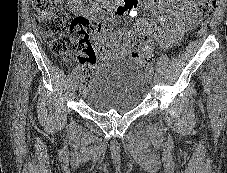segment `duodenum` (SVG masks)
I'll list each match as a JSON object with an SVG mask.
<instances>
[{"label": "duodenum", "mask_w": 227, "mask_h": 173, "mask_svg": "<svg viewBox=\"0 0 227 173\" xmlns=\"http://www.w3.org/2000/svg\"><path fill=\"white\" fill-rule=\"evenodd\" d=\"M130 1L131 0H114L111 2H104L101 6V11L107 18L119 16L129 5Z\"/></svg>", "instance_id": "410a0bca"}]
</instances>
